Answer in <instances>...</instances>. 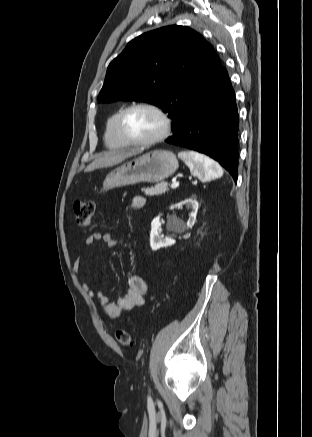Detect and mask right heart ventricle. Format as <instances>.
I'll list each match as a JSON object with an SVG mask.
<instances>
[{
  "label": "right heart ventricle",
  "mask_w": 312,
  "mask_h": 437,
  "mask_svg": "<svg viewBox=\"0 0 312 437\" xmlns=\"http://www.w3.org/2000/svg\"><path fill=\"white\" fill-rule=\"evenodd\" d=\"M120 112L121 110H118L113 113L106 122L104 141L111 149H122L128 146L117 132L116 124Z\"/></svg>",
  "instance_id": "1"
}]
</instances>
